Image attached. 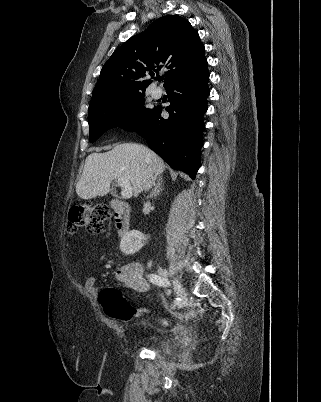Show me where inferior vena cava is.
I'll use <instances>...</instances> for the list:
<instances>
[{
  "label": "inferior vena cava",
  "instance_id": "inferior-vena-cava-1",
  "mask_svg": "<svg viewBox=\"0 0 321 402\" xmlns=\"http://www.w3.org/2000/svg\"><path fill=\"white\" fill-rule=\"evenodd\" d=\"M155 180H156V176L153 174L152 171H149L144 180V185H143L144 190L145 191L149 190L155 183Z\"/></svg>",
  "mask_w": 321,
  "mask_h": 402
}]
</instances>
